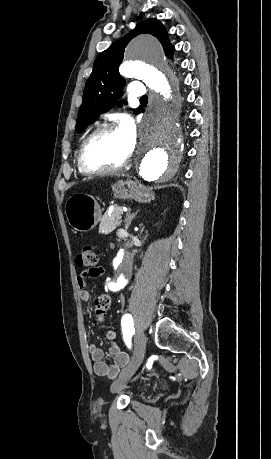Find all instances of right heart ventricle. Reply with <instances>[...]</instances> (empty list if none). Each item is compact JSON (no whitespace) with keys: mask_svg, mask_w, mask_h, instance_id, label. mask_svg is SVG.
Returning a JSON list of instances; mask_svg holds the SVG:
<instances>
[{"mask_svg":"<svg viewBox=\"0 0 271 459\" xmlns=\"http://www.w3.org/2000/svg\"><path fill=\"white\" fill-rule=\"evenodd\" d=\"M75 163H76L77 172H78V174H79L81 177H83V178H89V177L92 176V174H89V173L85 172V171L81 168V166H80V164H79V162H78V150L76 151V155H75Z\"/></svg>","mask_w":271,"mask_h":459,"instance_id":"right-heart-ventricle-1","label":"right heart ventricle"}]
</instances>
